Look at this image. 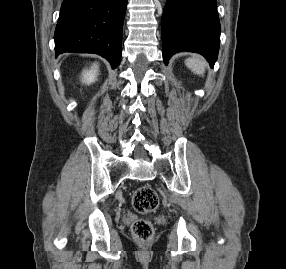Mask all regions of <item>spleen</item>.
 Returning <instances> with one entry per match:
<instances>
[{
	"instance_id": "1",
	"label": "spleen",
	"mask_w": 286,
	"mask_h": 269,
	"mask_svg": "<svg viewBox=\"0 0 286 269\" xmlns=\"http://www.w3.org/2000/svg\"><path fill=\"white\" fill-rule=\"evenodd\" d=\"M185 65L195 74L203 76L206 62L199 56H193L185 60Z\"/></svg>"
}]
</instances>
